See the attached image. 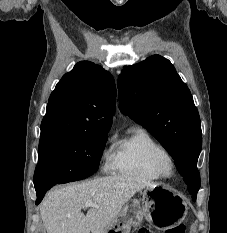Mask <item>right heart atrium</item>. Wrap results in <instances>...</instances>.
I'll list each match as a JSON object with an SVG mask.
<instances>
[{"label":"right heart atrium","instance_id":"obj_1","mask_svg":"<svg viewBox=\"0 0 227 233\" xmlns=\"http://www.w3.org/2000/svg\"><path fill=\"white\" fill-rule=\"evenodd\" d=\"M112 159H113V154L111 150H109L107 147H104L100 154L102 169L104 171H108L112 168Z\"/></svg>","mask_w":227,"mask_h":233}]
</instances>
